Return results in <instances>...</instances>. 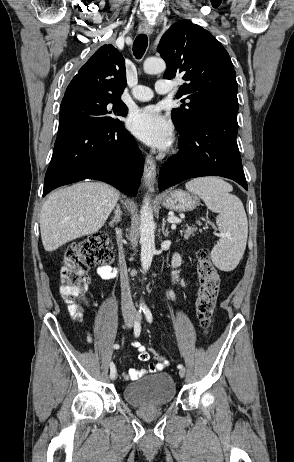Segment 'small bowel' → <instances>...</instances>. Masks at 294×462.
I'll use <instances>...</instances> for the list:
<instances>
[{
  "label": "small bowel",
  "instance_id": "small-bowel-1",
  "mask_svg": "<svg viewBox=\"0 0 294 462\" xmlns=\"http://www.w3.org/2000/svg\"><path fill=\"white\" fill-rule=\"evenodd\" d=\"M180 264H181V257L178 254H175L172 260V268H173L171 272L172 283L182 288L188 287L190 285L196 286L197 285L196 282H190V281L180 278L178 271H177V268L180 266ZM116 274H117V270L110 265H103L97 269V275L103 280L113 279L116 276ZM168 296L169 298L174 299L175 293L173 291H169ZM91 341H92L91 335L88 334V342H91ZM133 347L137 349L139 353L138 356L141 361L146 362L149 360L150 352L141 343L134 342ZM166 365H167V361L158 360V361L150 363L146 369H141V370L130 369L128 372L124 373V377L127 380H136L147 373H155V372L161 371Z\"/></svg>",
  "mask_w": 294,
  "mask_h": 462
}]
</instances>
